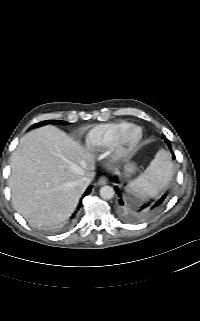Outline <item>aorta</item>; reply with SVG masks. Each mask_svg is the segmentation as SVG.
<instances>
[{
	"label": "aorta",
	"mask_w": 200,
	"mask_h": 321,
	"mask_svg": "<svg viewBox=\"0 0 200 321\" xmlns=\"http://www.w3.org/2000/svg\"><path fill=\"white\" fill-rule=\"evenodd\" d=\"M114 194H115V191L111 186L106 185L101 187L100 189V196L104 200H109L113 198Z\"/></svg>",
	"instance_id": "762f6f07"
}]
</instances>
